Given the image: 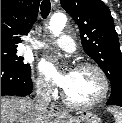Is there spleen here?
I'll return each instance as SVG.
<instances>
[{
	"mask_svg": "<svg viewBox=\"0 0 122 123\" xmlns=\"http://www.w3.org/2000/svg\"><path fill=\"white\" fill-rule=\"evenodd\" d=\"M115 118V123H122V111L118 108L111 107L108 109Z\"/></svg>",
	"mask_w": 122,
	"mask_h": 123,
	"instance_id": "1",
	"label": "spleen"
}]
</instances>
